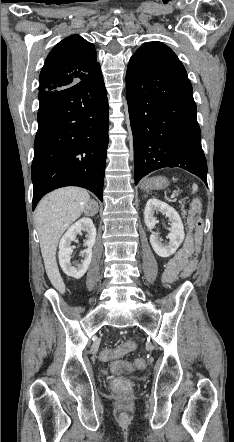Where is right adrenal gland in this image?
<instances>
[{"instance_id":"1","label":"right adrenal gland","mask_w":234,"mask_h":442,"mask_svg":"<svg viewBox=\"0 0 234 442\" xmlns=\"http://www.w3.org/2000/svg\"><path fill=\"white\" fill-rule=\"evenodd\" d=\"M95 203L93 200L90 202V204ZM96 209L98 210V204L95 203Z\"/></svg>"}]
</instances>
